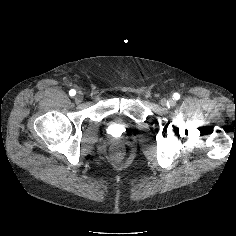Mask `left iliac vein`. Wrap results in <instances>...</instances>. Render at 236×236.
<instances>
[{
  "label": "left iliac vein",
  "mask_w": 236,
  "mask_h": 236,
  "mask_svg": "<svg viewBox=\"0 0 236 236\" xmlns=\"http://www.w3.org/2000/svg\"><path fill=\"white\" fill-rule=\"evenodd\" d=\"M161 104L163 106H173L175 104V101L173 99H166V98H163L161 100Z\"/></svg>",
  "instance_id": "1"
}]
</instances>
